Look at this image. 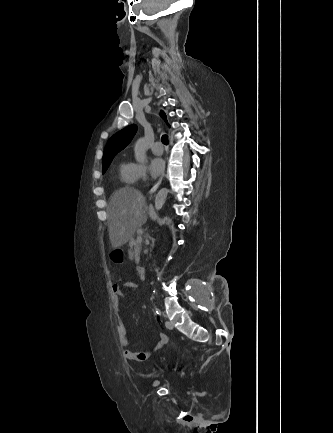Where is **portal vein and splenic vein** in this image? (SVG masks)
Returning <instances> with one entry per match:
<instances>
[{
    "instance_id": "obj_1",
    "label": "portal vein and splenic vein",
    "mask_w": 333,
    "mask_h": 433,
    "mask_svg": "<svg viewBox=\"0 0 333 433\" xmlns=\"http://www.w3.org/2000/svg\"><path fill=\"white\" fill-rule=\"evenodd\" d=\"M142 240H143V239H142V237H141V236L137 237V242H138V243H141V242H142Z\"/></svg>"
}]
</instances>
